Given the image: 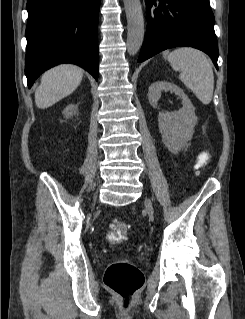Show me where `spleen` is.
Returning a JSON list of instances; mask_svg holds the SVG:
<instances>
[{
	"label": "spleen",
	"instance_id": "obj_1",
	"mask_svg": "<svg viewBox=\"0 0 245 319\" xmlns=\"http://www.w3.org/2000/svg\"><path fill=\"white\" fill-rule=\"evenodd\" d=\"M168 60L171 67L180 72L184 85L208 105L213 97L214 75L206 55L192 47H180L169 54Z\"/></svg>",
	"mask_w": 245,
	"mask_h": 319
}]
</instances>
